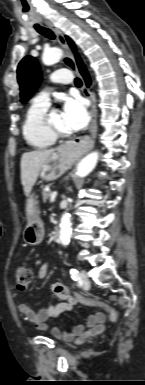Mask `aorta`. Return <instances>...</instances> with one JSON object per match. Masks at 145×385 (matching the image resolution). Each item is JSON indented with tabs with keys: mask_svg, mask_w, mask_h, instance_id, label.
Masks as SVG:
<instances>
[{
	"mask_svg": "<svg viewBox=\"0 0 145 385\" xmlns=\"http://www.w3.org/2000/svg\"><path fill=\"white\" fill-rule=\"evenodd\" d=\"M63 55V52L59 48H52L43 54V63L45 65H52L57 63ZM99 153L97 151L89 153L85 156L77 167V176L85 177L88 175L96 166L98 161ZM70 233H71V221L70 214L65 212L60 221V242L63 246H67L70 241Z\"/></svg>",
	"mask_w": 145,
	"mask_h": 385,
	"instance_id": "1",
	"label": "aorta"
}]
</instances>
